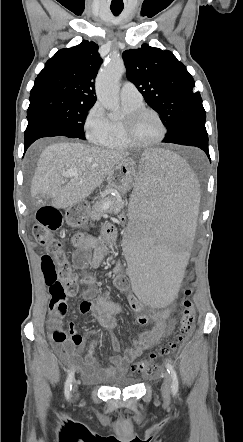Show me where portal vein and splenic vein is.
Returning a JSON list of instances; mask_svg holds the SVG:
<instances>
[{"label": "portal vein and splenic vein", "mask_w": 243, "mask_h": 442, "mask_svg": "<svg viewBox=\"0 0 243 442\" xmlns=\"http://www.w3.org/2000/svg\"><path fill=\"white\" fill-rule=\"evenodd\" d=\"M63 176H64L65 178L76 177V176H78V173H77L76 168H71V169H69L68 171L64 172V173H63ZM108 207H109V203H106V204L103 206V209H107Z\"/></svg>", "instance_id": "obj_1"}]
</instances>
